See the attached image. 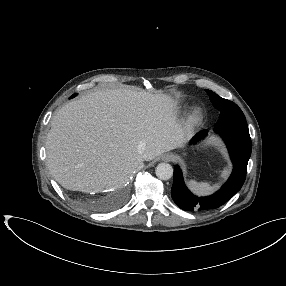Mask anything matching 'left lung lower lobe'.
<instances>
[{
    "label": "left lung lower lobe",
    "instance_id": "1",
    "mask_svg": "<svg viewBox=\"0 0 286 286\" xmlns=\"http://www.w3.org/2000/svg\"><path fill=\"white\" fill-rule=\"evenodd\" d=\"M215 131L220 134L227 145L233 162L232 174L215 194L198 198L187 189L180 168L175 166L171 196L174 202L183 210L216 209L234 196L245 181L247 164L251 155V138L246 119H219L215 125ZM207 132V130H202L197 133L191 140V143L206 136Z\"/></svg>",
    "mask_w": 286,
    "mask_h": 286
}]
</instances>
